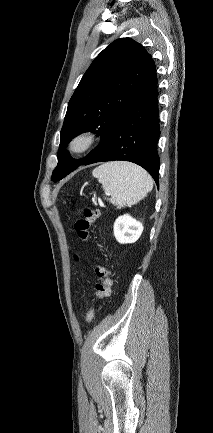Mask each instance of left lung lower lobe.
I'll list each match as a JSON object with an SVG mask.
<instances>
[{"label":"left lung lower lobe","instance_id":"left-lung-lower-lobe-1","mask_svg":"<svg viewBox=\"0 0 213 433\" xmlns=\"http://www.w3.org/2000/svg\"><path fill=\"white\" fill-rule=\"evenodd\" d=\"M157 82L155 68L118 117L100 149L85 165L113 160L130 161L147 170L159 186Z\"/></svg>","mask_w":213,"mask_h":433}]
</instances>
